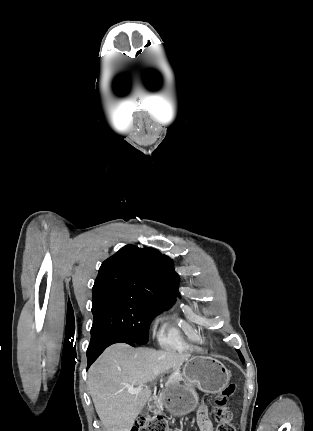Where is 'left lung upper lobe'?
<instances>
[{
  "mask_svg": "<svg viewBox=\"0 0 313 431\" xmlns=\"http://www.w3.org/2000/svg\"><path fill=\"white\" fill-rule=\"evenodd\" d=\"M165 258H166V260L168 261V263H169V266H170V271H171V275H172V279H173V282H174V284H175V286H176V289H177V287H178V283H179V276L177 275V273H175V271H174V268H173V265H172V261H171V259L169 258V257H166L165 256ZM177 294H178V296L180 297V295H179V293L177 292ZM237 352L239 353V358L241 359V361H242V363H244V357H243V355L241 354V352L239 351V350H237Z\"/></svg>",
  "mask_w": 313,
  "mask_h": 431,
  "instance_id": "obj_1",
  "label": "left lung upper lobe"
}]
</instances>
